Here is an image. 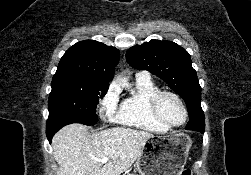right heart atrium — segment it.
<instances>
[{"label": "right heart atrium", "mask_w": 251, "mask_h": 175, "mask_svg": "<svg viewBox=\"0 0 251 175\" xmlns=\"http://www.w3.org/2000/svg\"><path fill=\"white\" fill-rule=\"evenodd\" d=\"M120 101V93L116 83L112 82L100 97L96 111L98 116L104 121H115L117 109Z\"/></svg>", "instance_id": "d8ad5b80"}]
</instances>
